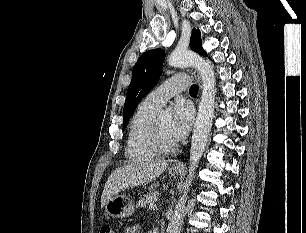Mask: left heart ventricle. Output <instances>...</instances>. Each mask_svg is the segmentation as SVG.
<instances>
[{
  "label": "left heart ventricle",
  "mask_w": 306,
  "mask_h": 233,
  "mask_svg": "<svg viewBox=\"0 0 306 233\" xmlns=\"http://www.w3.org/2000/svg\"><path fill=\"white\" fill-rule=\"evenodd\" d=\"M170 120L159 119L157 120L158 131L163 143L167 146L174 145L175 142L169 136Z\"/></svg>",
  "instance_id": "left-heart-ventricle-1"
}]
</instances>
